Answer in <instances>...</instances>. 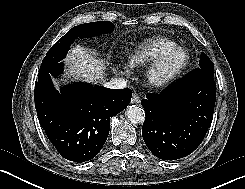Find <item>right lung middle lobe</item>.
<instances>
[{"mask_svg": "<svg viewBox=\"0 0 245 189\" xmlns=\"http://www.w3.org/2000/svg\"><path fill=\"white\" fill-rule=\"evenodd\" d=\"M113 30L114 24L112 22H91L73 27L47 52L46 57L42 61L38 76L48 73L59 61L64 59L76 38L99 36L110 33Z\"/></svg>", "mask_w": 245, "mask_h": 189, "instance_id": "1", "label": "right lung middle lobe"}]
</instances>
